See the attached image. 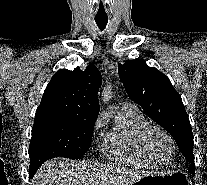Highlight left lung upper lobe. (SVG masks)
Instances as JSON below:
<instances>
[{"instance_id": "obj_1", "label": "left lung upper lobe", "mask_w": 207, "mask_h": 185, "mask_svg": "<svg viewBox=\"0 0 207 185\" xmlns=\"http://www.w3.org/2000/svg\"><path fill=\"white\" fill-rule=\"evenodd\" d=\"M118 72L129 98L172 135L194 173V142L190 121L181 96L169 78L142 60H128L119 64Z\"/></svg>"}]
</instances>
